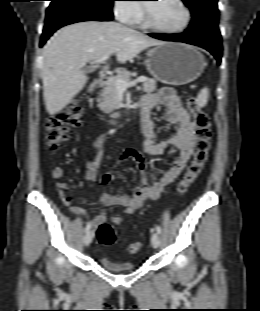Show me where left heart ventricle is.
<instances>
[{
	"label": "left heart ventricle",
	"instance_id": "1",
	"mask_svg": "<svg viewBox=\"0 0 260 311\" xmlns=\"http://www.w3.org/2000/svg\"><path fill=\"white\" fill-rule=\"evenodd\" d=\"M148 4L152 19L158 26L173 29L183 24L185 13L176 0H158Z\"/></svg>",
	"mask_w": 260,
	"mask_h": 311
}]
</instances>
